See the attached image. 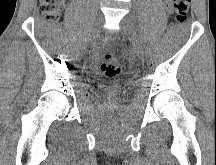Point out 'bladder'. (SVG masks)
Instances as JSON below:
<instances>
[{"label":"bladder","mask_w":216,"mask_h":165,"mask_svg":"<svg viewBox=\"0 0 216 165\" xmlns=\"http://www.w3.org/2000/svg\"><path fill=\"white\" fill-rule=\"evenodd\" d=\"M107 86H113L114 82L113 81H107L106 82ZM120 93L116 92L115 89H110L109 92H103V97H119Z\"/></svg>","instance_id":"bladder-1"}]
</instances>
